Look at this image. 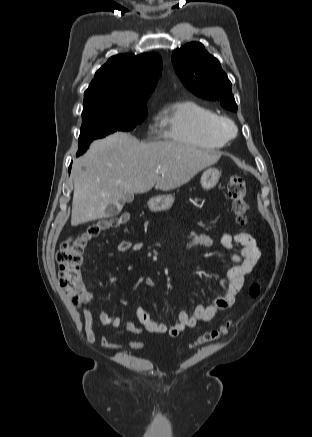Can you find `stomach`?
Instances as JSON below:
<instances>
[{
    "mask_svg": "<svg viewBox=\"0 0 312 437\" xmlns=\"http://www.w3.org/2000/svg\"><path fill=\"white\" fill-rule=\"evenodd\" d=\"M220 171L217 168L209 167L201 175V185L205 190H210L216 186L220 178ZM174 203L172 195H159L151 198L148 202L150 210L161 212L169 210Z\"/></svg>",
    "mask_w": 312,
    "mask_h": 437,
    "instance_id": "1",
    "label": "stomach"
}]
</instances>
